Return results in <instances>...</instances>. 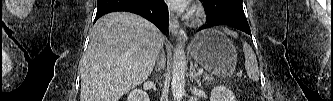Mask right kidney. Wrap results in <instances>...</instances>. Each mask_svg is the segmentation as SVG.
Instances as JSON below:
<instances>
[{
    "mask_svg": "<svg viewBox=\"0 0 333 101\" xmlns=\"http://www.w3.org/2000/svg\"><path fill=\"white\" fill-rule=\"evenodd\" d=\"M127 101H150V99L146 92L135 89L128 94Z\"/></svg>",
    "mask_w": 333,
    "mask_h": 101,
    "instance_id": "obj_1",
    "label": "right kidney"
}]
</instances>
